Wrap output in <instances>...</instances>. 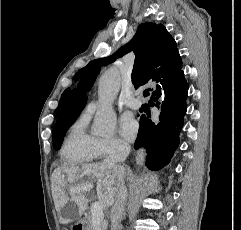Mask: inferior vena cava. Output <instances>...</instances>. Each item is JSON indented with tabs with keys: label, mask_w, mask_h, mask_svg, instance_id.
<instances>
[{
	"label": "inferior vena cava",
	"mask_w": 241,
	"mask_h": 230,
	"mask_svg": "<svg viewBox=\"0 0 241 230\" xmlns=\"http://www.w3.org/2000/svg\"><path fill=\"white\" fill-rule=\"evenodd\" d=\"M129 150L130 146L128 144H121L116 152L108 155L104 159L103 164L117 170L120 167V165H118V162H120L129 153ZM126 199L127 188L124 185L123 177L119 176L117 179L116 202L111 210V230L120 229L119 222L123 219V216L125 215L124 204Z\"/></svg>",
	"instance_id": "inferior-vena-cava-1"
}]
</instances>
